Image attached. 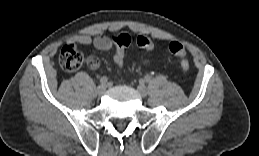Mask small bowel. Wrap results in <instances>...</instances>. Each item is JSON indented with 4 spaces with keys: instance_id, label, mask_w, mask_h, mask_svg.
Wrapping results in <instances>:
<instances>
[{
    "instance_id": "obj_1",
    "label": "small bowel",
    "mask_w": 259,
    "mask_h": 156,
    "mask_svg": "<svg viewBox=\"0 0 259 156\" xmlns=\"http://www.w3.org/2000/svg\"><path fill=\"white\" fill-rule=\"evenodd\" d=\"M69 44L71 45L93 44L98 50L107 51L113 47L114 41L112 38L105 35H98L94 38H91L88 35H75L70 39ZM144 63H147V61H145ZM88 65L91 69H96L99 65V61L97 57H94V56L90 57L88 61Z\"/></svg>"
}]
</instances>
